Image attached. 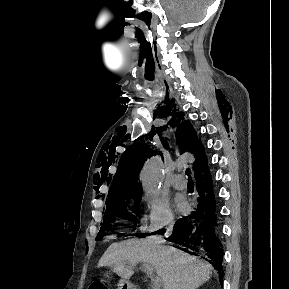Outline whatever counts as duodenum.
Returning <instances> with one entry per match:
<instances>
[{
  "label": "duodenum",
  "instance_id": "1",
  "mask_svg": "<svg viewBox=\"0 0 289 289\" xmlns=\"http://www.w3.org/2000/svg\"><path fill=\"white\" fill-rule=\"evenodd\" d=\"M128 289H140V288H138V287H136V286L130 285V286L128 287Z\"/></svg>",
  "mask_w": 289,
  "mask_h": 289
}]
</instances>
